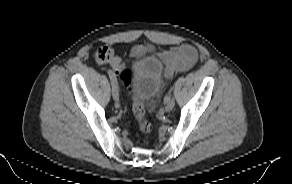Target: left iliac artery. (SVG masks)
Segmentation results:
<instances>
[{
	"label": "left iliac artery",
	"mask_w": 292,
	"mask_h": 184,
	"mask_svg": "<svg viewBox=\"0 0 292 184\" xmlns=\"http://www.w3.org/2000/svg\"><path fill=\"white\" fill-rule=\"evenodd\" d=\"M171 97V94L168 93L165 97H164V101L167 102Z\"/></svg>",
	"instance_id": "1"
}]
</instances>
